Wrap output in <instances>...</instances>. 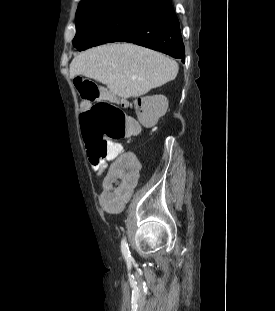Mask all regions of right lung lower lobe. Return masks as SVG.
<instances>
[{
  "instance_id": "right-lung-lower-lobe-1",
  "label": "right lung lower lobe",
  "mask_w": 275,
  "mask_h": 311,
  "mask_svg": "<svg viewBox=\"0 0 275 311\" xmlns=\"http://www.w3.org/2000/svg\"><path fill=\"white\" fill-rule=\"evenodd\" d=\"M151 48L182 59L185 51L179 21L171 7L165 4L137 21L119 40Z\"/></svg>"
}]
</instances>
